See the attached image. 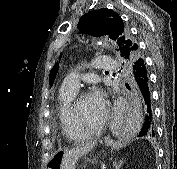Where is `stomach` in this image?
<instances>
[{"label":"stomach","instance_id":"obj_1","mask_svg":"<svg viewBox=\"0 0 177 169\" xmlns=\"http://www.w3.org/2000/svg\"><path fill=\"white\" fill-rule=\"evenodd\" d=\"M62 155V153L55 154L48 164V169H60Z\"/></svg>","mask_w":177,"mask_h":169}]
</instances>
